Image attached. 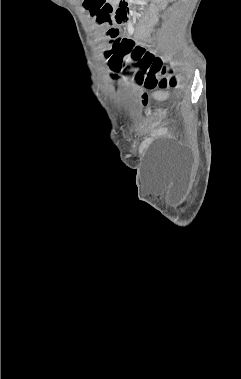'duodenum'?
I'll list each match as a JSON object with an SVG mask.
<instances>
[{"instance_id":"duodenum-1","label":"duodenum","mask_w":241,"mask_h":379,"mask_svg":"<svg viewBox=\"0 0 241 379\" xmlns=\"http://www.w3.org/2000/svg\"><path fill=\"white\" fill-rule=\"evenodd\" d=\"M109 4V3H108ZM109 4L111 8V16L117 22H122L128 18L130 9V0H120L119 2Z\"/></svg>"}]
</instances>
